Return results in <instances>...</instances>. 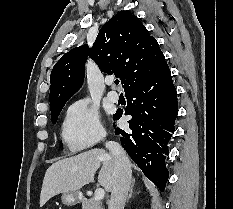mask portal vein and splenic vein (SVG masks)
Masks as SVG:
<instances>
[{
  "instance_id": "portal-vein-and-splenic-vein-1",
  "label": "portal vein and splenic vein",
  "mask_w": 233,
  "mask_h": 209,
  "mask_svg": "<svg viewBox=\"0 0 233 209\" xmlns=\"http://www.w3.org/2000/svg\"><path fill=\"white\" fill-rule=\"evenodd\" d=\"M105 196V190L102 188H97L95 190V194H94V199L97 201H100L104 198Z\"/></svg>"
}]
</instances>
